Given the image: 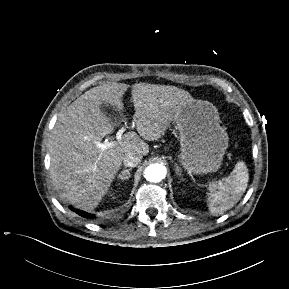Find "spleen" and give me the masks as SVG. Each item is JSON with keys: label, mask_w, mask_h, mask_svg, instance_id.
<instances>
[{"label": "spleen", "mask_w": 289, "mask_h": 289, "mask_svg": "<svg viewBox=\"0 0 289 289\" xmlns=\"http://www.w3.org/2000/svg\"><path fill=\"white\" fill-rule=\"evenodd\" d=\"M248 180L247 166L240 161L228 177L209 183L207 194L209 210L214 214H223L232 208L241 199L247 188Z\"/></svg>", "instance_id": "3e777b00"}]
</instances>
